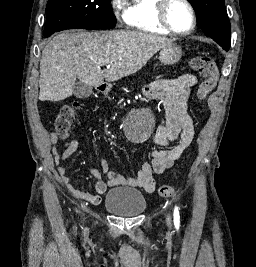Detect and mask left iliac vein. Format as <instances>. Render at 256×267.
<instances>
[{
	"mask_svg": "<svg viewBox=\"0 0 256 267\" xmlns=\"http://www.w3.org/2000/svg\"><path fill=\"white\" fill-rule=\"evenodd\" d=\"M166 224H167L168 226L171 225V216H170L169 214L166 216Z\"/></svg>",
	"mask_w": 256,
	"mask_h": 267,
	"instance_id": "4c4485c4",
	"label": "left iliac vein"
}]
</instances>
